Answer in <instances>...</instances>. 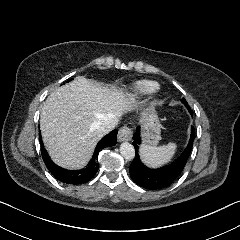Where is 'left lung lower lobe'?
<instances>
[{
	"mask_svg": "<svg viewBox=\"0 0 240 240\" xmlns=\"http://www.w3.org/2000/svg\"><path fill=\"white\" fill-rule=\"evenodd\" d=\"M194 128L191 129V137L189 144L183 154L173 163L158 169H151L146 167L139 158L137 153L139 144L141 143L140 138V127H137L136 133L133 136V145L136 150V156L132 161L129 172L132 180L139 186L157 190L169 186L182 172L192 149L194 141Z\"/></svg>",
	"mask_w": 240,
	"mask_h": 240,
	"instance_id": "obj_1",
	"label": "left lung lower lobe"
}]
</instances>
